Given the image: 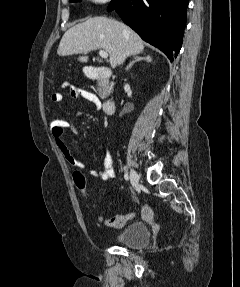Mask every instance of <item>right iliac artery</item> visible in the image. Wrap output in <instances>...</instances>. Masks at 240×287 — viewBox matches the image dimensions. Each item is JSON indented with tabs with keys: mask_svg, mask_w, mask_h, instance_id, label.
<instances>
[{
	"mask_svg": "<svg viewBox=\"0 0 240 287\" xmlns=\"http://www.w3.org/2000/svg\"><path fill=\"white\" fill-rule=\"evenodd\" d=\"M124 179H125L126 181H128V180H129V176H128V174H127V173H125V174H124Z\"/></svg>",
	"mask_w": 240,
	"mask_h": 287,
	"instance_id": "1",
	"label": "right iliac artery"
}]
</instances>
